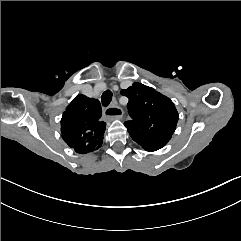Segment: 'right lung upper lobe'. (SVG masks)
<instances>
[{"instance_id":"1","label":"right lung upper lobe","mask_w":241,"mask_h":241,"mask_svg":"<svg viewBox=\"0 0 241 241\" xmlns=\"http://www.w3.org/2000/svg\"><path fill=\"white\" fill-rule=\"evenodd\" d=\"M100 102L77 95L66 107L61 119L63 140L77 153L87 154L99 149L106 123L101 121Z\"/></svg>"}]
</instances>
